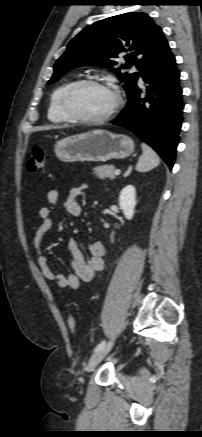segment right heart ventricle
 Here are the masks:
<instances>
[{"label":"right heart ventricle","instance_id":"e07e8e85","mask_svg":"<svg viewBox=\"0 0 202 437\" xmlns=\"http://www.w3.org/2000/svg\"><path fill=\"white\" fill-rule=\"evenodd\" d=\"M74 81H69L58 88H56L51 94L49 107H48V119L55 124L67 123L70 120L67 119L61 111L60 99L64 91L73 83Z\"/></svg>","mask_w":202,"mask_h":437}]
</instances>
